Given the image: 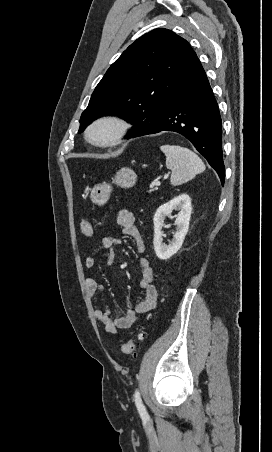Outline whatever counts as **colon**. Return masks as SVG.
<instances>
[{
  "mask_svg": "<svg viewBox=\"0 0 272 452\" xmlns=\"http://www.w3.org/2000/svg\"><path fill=\"white\" fill-rule=\"evenodd\" d=\"M81 231L83 235L91 237L94 233L91 222H89L88 220H82ZM143 338L144 334L139 333L136 338L124 342L120 347V352L125 356L133 355L135 353L137 345L139 344L140 341L143 340Z\"/></svg>",
  "mask_w": 272,
  "mask_h": 452,
  "instance_id": "1",
  "label": "colon"
}]
</instances>
